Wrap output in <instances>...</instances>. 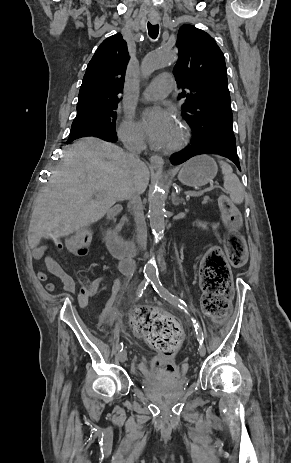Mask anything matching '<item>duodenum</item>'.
<instances>
[{"instance_id":"duodenum-1","label":"duodenum","mask_w":291,"mask_h":463,"mask_svg":"<svg viewBox=\"0 0 291 463\" xmlns=\"http://www.w3.org/2000/svg\"><path fill=\"white\" fill-rule=\"evenodd\" d=\"M109 209L110 212L107 215L106 225L103 228V237L106 247L117 257L133 255L135 253V240L120 238L117 232L110 226V222L124 210V205L122 203H112Z\"/></svg>"}]
</instances>
